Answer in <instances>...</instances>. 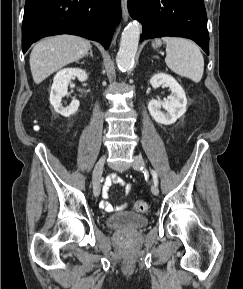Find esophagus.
I'll return each instance as SVG.
<instances>
[{
  "label": "esophagus",
  "instance_id": "obj_1",
  "mask_svg": "<svg viewBox=\"0 0 243 289\" xmlns=\"http://www.w3.org/2000/svg\"><path fill=\"white\" fill-rule=\"evenodd\" d=\"M121 4H122L123 17L125 20H127L129 16L128 8H127V0H121Z\"/></svg>",
  "mask_w": 243,
  "mask_h": 289
}]
</instances>
